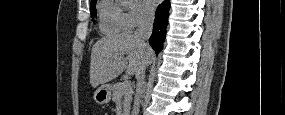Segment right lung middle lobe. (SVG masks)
<instances>
[{
	"mask_svg": "<svg viewBox=\"0 0 285 115\" xmlns=\"http://www.w3.org/2000/svg\"><path fill=\"white\" fill-rule=\"evenodd\" d=\"M95 5H96V0L94 2H91V6H90V12H91L92 18L96 16Z\"/></svg>",
	"mask_w": 285,
	"mask_h": 115,
	"instance_id": "dd1d6c3e",
	"label": "right lung middle lobe"
}]
</instances>
